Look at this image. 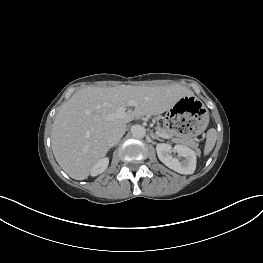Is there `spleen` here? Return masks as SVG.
Returning <instances> with one entry per match:
<instances>
[{"label": "spleen", "instance_id": "obj_1", "mask_svg": "<svg viewBox=\"0 0 263 263\" xmlns=\"http://www.w3.org/2000/svg\"><path fill=\"white\" fill-rule=\"evenodd\" d=\"M215 143H216V130L210 129L207 132V140L204 147V155H208L211 152V150L215 146Z\"/></svg>", "mask_w": 263, "mask_h": 263}]
</instances>
